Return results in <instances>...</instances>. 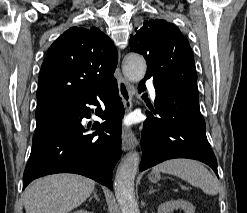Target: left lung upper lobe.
<instances>
[{
  "label": "left lung upper lobe",
  "instance_id": "5c2ea615",
  "mask_svg": "<svg viewBox=\"0 0 247 213\" xmlns=\"http://www.w3.org/2000/svg\"><path fill=\"white\" fill-rule=\"evenodd\" d=\"M129 46L146 59L145 80L153 78L155 89L199 100L193 53L174 24L158 19L145 21L131 35Z\"/></svg>",
  "mask_w": 247,
  "mask_h": 213
}]
</instances>
